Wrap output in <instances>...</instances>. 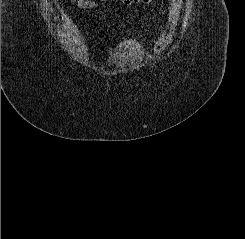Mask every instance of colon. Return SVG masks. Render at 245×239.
Instances as JSON below:
<instances>
[{
    "label": "colon",
    "instance_id": "colon-1",
    "mask_svg": "<svg viewBox=\"0 0 245 239\" xmlns=\"http://www.w3.org/2000/svg\"><path fill=\"white\" fill-rule=\"evenodd\" d=\"M152 0H121V2H123L124 4H135V3H149Z\"/></svg>",
    "mask_w": 245,
    "mask_h": 239
}]
</instances>
